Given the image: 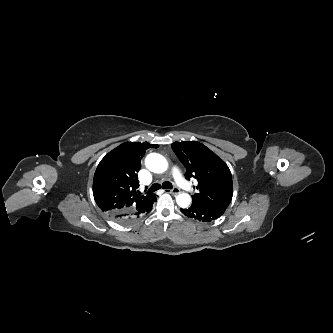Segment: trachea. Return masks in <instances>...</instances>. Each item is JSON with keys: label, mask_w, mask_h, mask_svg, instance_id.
Returning a JSON list of instances; mask_svg holds the SVG:
<instances>
[{"label": "trachea", "mask_w": 333, "mask_h": 333, "mask_svg": "<svg viewBox=\"0 0 333 333\" xmlns=\"http://www.w3.org/2000/svg\"><path fill=\"white\" fill-rule=\"evenodd\" d=\"M164 188V189H172V184L169 181H165L162 183V186L158 183H154L148 190V193H153L159 189Z\"/></svg>", "instance_id": "1"}]
</instances>
